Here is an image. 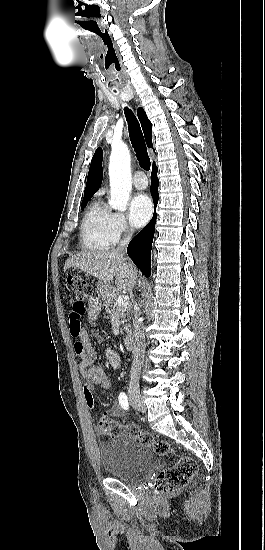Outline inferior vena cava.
I'll return each instance as SVG.
<instances>
[{
	"mask_svg": "<svg viewBox=\"0 0 265 550\" xmlns=\"http://www.w3.org/2000/svg\"><path fill=\"white\" fill-rule=\"evenodd\" d=\"M132 233H128L120 242L117 248L119 254H123L131 240ZM140 311L137 304L134 305V331H133V362L130 371V379L133 383H138V375L144 362L145 353V331L142 322L139 319Z\"/></svg>",
	"mask_w": 265,
	"mask_h": 550,
	"instance_id": "inferior-vena-cava-1",
	"label": "inferior vena cava"
}]
</instances>
